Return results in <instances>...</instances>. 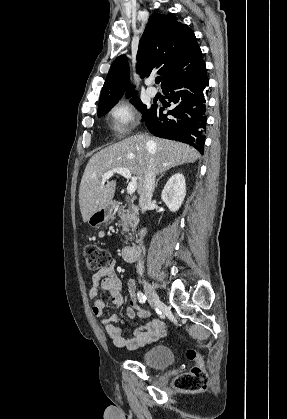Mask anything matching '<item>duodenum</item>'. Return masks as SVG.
Returning <instances> with one entry per match:
<instances>
[{
    "mask_svg": "<svg viewBox=\"0 0 287 419\" xmlns=\"http://www.w3.org/2000/svg\"><path fill=\"white\" fill-rule=\"evenodd\" d=\"M138 253L139 250L136 246L134 245H126L123 249H122V258L126 261V262H134L136 261L137 257H138Z\"/></svg>",
    "mask_w": 287,
    "mask_h": 419,
    "instance_id": "duodenum-1",
    "label": "duodenum"
}]
</instances>
